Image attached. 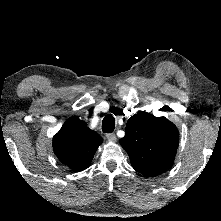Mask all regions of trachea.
<instances>
[{
	"instance_id": "1",
	"label": "trachea",
	"mask_w": 221,
	"mask_h": 221,
	"mask_svg": "<svg viewBox=\"0 0 221 221\" xmlns=\"http://www.w3.org/2000/svg\"><path fill=\"white\" fill-rule=\"evenodd\" d=\"M115 128V119L112 115H107L102 121V131L111 133Z\"/></svg>"
}]
</instances>
